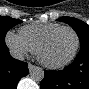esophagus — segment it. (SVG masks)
Segmentation results:
<instances>
[{
	"label": "esophagus",
	"instance_id": "34e87169",
	"mask_svg": "<svg viewBox=\"0 0 89 89\" xmlns=\"http://www.w3.org/2000/svg\"><path fill=\"white\" fill-rule=\"evenodd\" d=\"M36 68V66H34V65H32V64H28V69L30 70V71H32L33 69H35Z\"/></svg>",
	"mask_w": 89,
	"mask_h": 89
}]
</instances>
